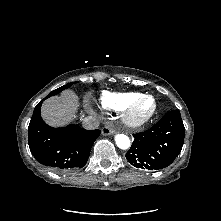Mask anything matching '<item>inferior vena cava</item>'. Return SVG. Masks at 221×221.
Wrapping results in <instances>:
<instances>
[{"instance_id": "1", "label": "inferior vena cava", "mask_w": 221, "mask_h": 221, "mask_svg": "<svg viewBox=\"0 0 221 221\" xmlns=\"http://www.w3.org/2000/svg\"><path fill=\"white\" fill-rule=\"evenodd\" d=\"M82 125L83 128L88 130L96 129L99 126V119L95 116L86 117L83 119Z\"/></svg>"}]
</instances>
